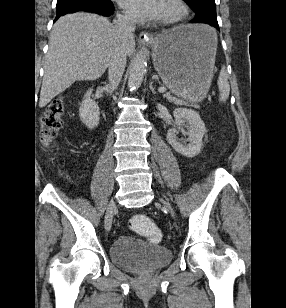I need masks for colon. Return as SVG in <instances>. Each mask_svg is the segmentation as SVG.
Listing matches in <instances>:
<instances>
[{
	"label": "colon",
	"mask_w": 286,
	"mask_h": 308,
	"mask_svg": "<svg viewBox=\"0 0 286 308\" xmlns=\"http://www.w3.org/2000/svg\"><path fill=\"white\" fill-rule=\"evenodd\" d=\"M64 111L65 103L62 97H57L49 102L40 119V141L42 144L50 145L56 139L63 126ZM132 228L153 243H158L162 238L155 224L143 214H136L133 217Z\"/></svg>",
	"instance_id": "5ec220e1"
}]
</instances>
